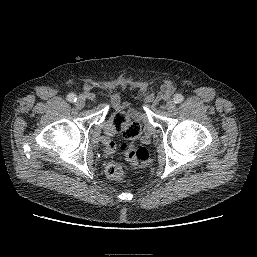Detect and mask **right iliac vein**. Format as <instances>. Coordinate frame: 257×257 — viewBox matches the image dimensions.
I'll list each match as a JSON object with an SVG mask.
<instances>
[{"label": "right iliac vein", "mask_w": 257, "mask_h": 257, "mask_svg": "<svg viewBox=\"0 0 257 257\" xmlns=\"http://www.w3.org/2000/svg\"><path fill=\"white\" fill-rule=\"evenodd\" d=\"M75 105L78 109H82L85 106V99L82 97H79L77 101L75 102Z\"/></svg>", "instance_id": "1"}]
</instances>
